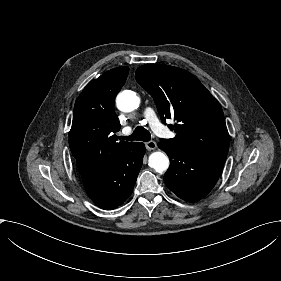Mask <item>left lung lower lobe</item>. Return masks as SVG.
I'll list each match as a JSON object with an SVG mask.
<instances>
[{
	"label": "left lung lower lobe",
	"instance_id": "1",
	"mask_svg": "<svg viewBox=\"0 0 281 281\" xmlns=\"http://www.w3.org/2000/svg\"><path fill=\"white\" fill-rule=\"evenodd\" d=\"M158 146L170 159L164 181L173 193L185 201L195 202L212 190L225 163V155L187 153L166 142H159Z\"/></svg>",
	"mask_w": 281,
	"mask_h": 281
}]
</instances>
